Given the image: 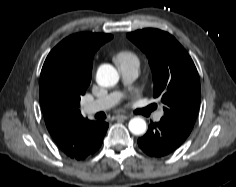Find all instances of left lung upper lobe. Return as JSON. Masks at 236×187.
I'll return each mask as SVG.
<instances>
[{"instance_id":"left-lung-upper-lobe-1","label":"left lung upper lobe","mask_w":236,"mask_h":187,"mask_svg":"<svg viewBox=\"0 0 236 187\" xmlns=\"http://www.w3.org/2000/svg\"><path fill=\"white\" fill-rule=\"evenodd\" d=\"M127 37L148 58L154 97L164 104L162 119L190 133L201 98L199 75L191 57L172 35L158 29L137 30Z\"/></svg>"}]
</instances>
